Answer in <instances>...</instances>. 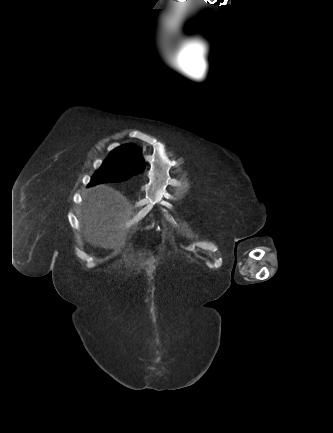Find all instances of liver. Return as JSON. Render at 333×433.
I'll return each mask as SVG.
<instances>
[{
  "instance_id": "liver-1",
  "label": "liver",
  "mask_w": 333,
  "mask_h": 433,
  "mask_svg": "<svg viewBox=\"0 0 333 433\" xmlns=\"http://www.w3.org/2000/svg\"><path fill=\"white\" fill-rule=\"evenodd\" d=\"M135 213L128 199L108 185H99L84 195L81 226L85 239L93 246L118 249L126 236Z\"/></svg>"
}]
</instances>
